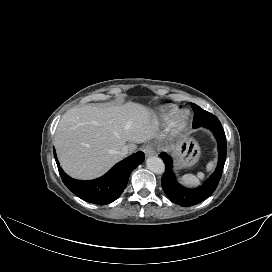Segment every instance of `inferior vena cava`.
<instances>
[{"label":"inferior vena cava","mask_w":272,"mask_h":272,"mask_svg":"<svg viewBox=\"0 0 272 272\" xmlns=\"http://www.w3.org/2000/svg\"><path fill=\"white\" fill-rule=\"evenodd\" d=\"M119 153H120V155L122 157L126 156L129 153V147L128 146H123Z\"/></svg>","instance_id":"inferior-vena-cava-1"}]
</instances>
